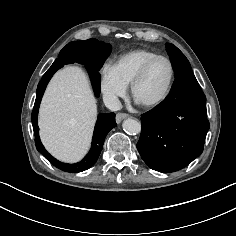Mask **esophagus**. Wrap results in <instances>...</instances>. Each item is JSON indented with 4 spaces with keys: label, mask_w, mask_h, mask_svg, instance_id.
Returning a JSON list of instances; mask_svg holds the SVG:
<instances>
[{
    "label": "esophagus",
    "mask_w": 236,
    "mask_h": 236,
    "mask_svg": "<svg viewBox=\"0 0 236 236\" xmlns=\"http://www.w3.org/2000/svg\"><path fill=\"white\" fill-rule=\"evenodd\" d=\"M127 117H129V115L126 114V113H117V114H116V122L119 124V123H121V121H122L123 119H125V118H127Z\"/></svg>",
    "instance_id": "obj_1"
}]
</instances>
